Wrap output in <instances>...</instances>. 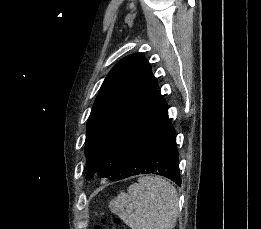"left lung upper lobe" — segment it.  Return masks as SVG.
Instances as JSON below:
<instances>
[{
    "mask_svg": "<svg viewBox=\"0 0 261 229\" xmlns=\"http://www.w3.org/2000/svg\"><path fill=\"white\" fill-rule=\"evenodd\" d=\"M151 67L140 54L121 59L104 80L87 121V179L117 138L158 93Z\"/></svg>",
    "mask_w": 261,
    "mask_h": 229,
    "instance_id": "1",
    "label": "left lung upper lobe"
}]
</instances>
